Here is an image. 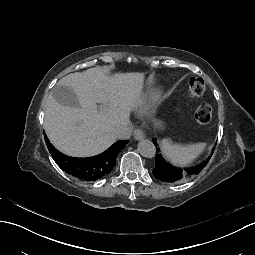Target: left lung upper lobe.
Here are the masks:
<instances>
[{"label": "left lung upper lobe", "mask_w": 255, "mask_h": 255, "mask_svg": "<svg viewBox=\"0 0 255 255\" xmlns=\"http://www.w3.org/2000/svg\"><path fill=\"white\" fill-rule=\"evenodd\" d=\"M211 155H212V154H211ZM211 155H210V156H211ZM156 157H157V155H156ZM164 162H165V161H164ZM164 162H163V163H164ZM158 163H159V162H157V160H156V165H157ZM156 165H155V166H156ZM196 166H197V165H196ZM196 166H194V167H196ZM192 168H193V167H192ZM192 168H191V169H192ZM169 170H170V169H169ZM200 172H201V171H200ZM200 172H197L195 175L199 174ZM157 179H158V178H157ZM158 180H159V179H158ZM178 182H181V181H177V182H165V183H178Z\"/></svg>", "instance_id": "1"}]
</instances>
